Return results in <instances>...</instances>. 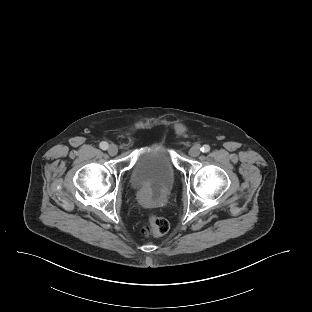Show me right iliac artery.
<instances>
[{"label": "right iliac artery", "instance_id": "1", "mask_svg": "<svg viewBox=\"0 0 312 312\" xmlns=\"http://www.w3.org/2000/svg\"><path fill=\"white\" fill-rule=\"evenodd\" d=\"M99 146L102 150H106L109 145L107 142H101Z\"/></svg>", "mask_w": 312, "mask_h": 312}]
</instances>
